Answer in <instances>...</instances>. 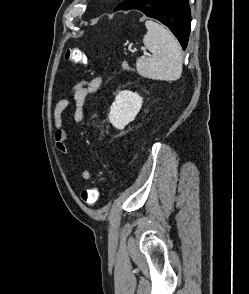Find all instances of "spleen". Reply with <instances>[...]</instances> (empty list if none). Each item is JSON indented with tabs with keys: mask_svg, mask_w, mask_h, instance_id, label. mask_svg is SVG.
<instances>
[{
	"mask_svg": "<svg viewBox=\"0 0 249 294\" xmlns=\"http://www.w3.org/2000/svg\"><path fill=\"white\" fill-rule=\"evenodd\" d=\"M147 33L143 38L151 56H141L136 62L138 73L154 80L175 81L182 74L181 47L175 36L164 26L152 21L145 22Z\"/></svg>",
	"mask_w": 249,
	"mask_h": 294,
	"instance_id": "obj_1",
	"label": "spleen"
}]
</instances>
